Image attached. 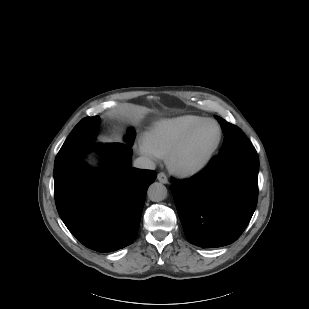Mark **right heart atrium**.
I'll list each match as a JSON object with an SVG mask.
<instances>
[{
	"label": "right heart atrium",
	"mask_w": 309,
	"mask_h": 309,
	"mask_svg": "<svg viewBox=\"0 0 309 309\" xmlns=\"http://www.w3.org/2000/svg\"><path fill=\"white\" fill-rule=\"evenodd\" d=\"M139 152L141 155H143L144 157L146 158H149V159H153L155 157H157L152 151L151 149L149 148V146L146 144V142H141L140 145H139Z\"/></svg>",
	"instance_id": "d8ad5b80"
}]
</instances>
